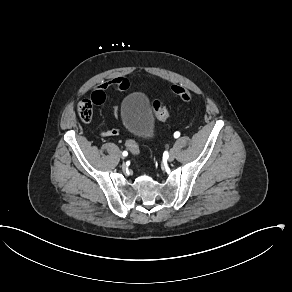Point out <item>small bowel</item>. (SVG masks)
<instances>
[{
  "label": "small bowel",
  "mask_w": 292,
  "mask_h": 292,
  "mask_svg": "<svg viewBox=\"0 0 292 292\" xmlns=\"http://www.w3.org/2000/svg\"><path fill=\"white\" fill-rule=\"evenodd\" d=\"M100 88H112L115 90H126L128 88V81L125 78L119 77L108 81H103L99 84ZM119 106L117 104H114L111 109V115L113 117H116L118 115ZM118 118H121V115H118ZM123 128V119H120V125L118 128L114 129H105L101 130L97 133V136L99 138H102L104 136H108L109 138H117L120 135L119 129ZM91 134H94V131H91Z\"/></svg>",
  "instance_id": "c3829d8e"
}]
</instances>
